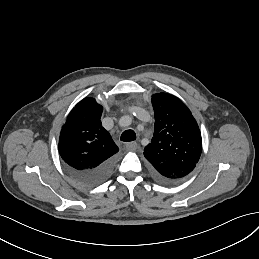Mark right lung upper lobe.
I'll return each mask as SVG.
<instances>
[{
    "label": "right lung upper lobe",
    "mask_w": 259,
    "mask_h": 259,
    "mask_svg": "<svg viewBox=\"0 0 259 259\" xmlns=\"http://www.w3.org/2000/svg\"><path fill=\"white\" fill-rule=\"evenodd\" d=\"M102 111L103 107L90 97L70 112L59 138V153L68 166L77 170L95 168L119 151L102 127Z\"/></svg>",
    "instance_id": "cb5924a9"
}]
</instances>
